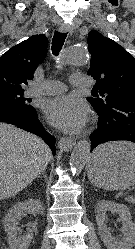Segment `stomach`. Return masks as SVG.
Masks as SVG:
<instances>
[{"label": "stomach", "instance_id": "1", "mask_svg": "<svg viewBox=\"0 0 135 249\" xmlns=\"http://www.w3.org/2000/svg\"><path fill=\"white\" fill-rule=\"evenodd\" d=\"M88 177L107 190H124L135 184V145L111 142L98 147L88 163Z\"/></svg>", "mask_w": 135, "mask_h": 249}]
</instances>
